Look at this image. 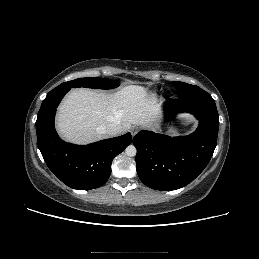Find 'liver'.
<instances>
[{
  "mask_svg": "<svg viewBox=\"0 0 259 259\" xmlns=\"http://www.w3.org/2000/svg\"><path fill=\"white\" fill-rule=\"evenodd\" d=\"M160 103L144 87L127 85L114 93L80 88L73 89L58 108L56 127L63 139L87 144L107 135L98 131L111 123L151 128L161 119Z\"/></svg>",
  "mask_w": 259,
  "mask_h": 259,
  "instance_id": "1",
  "label": "liver"
}]
</instances>
